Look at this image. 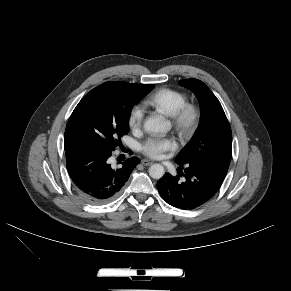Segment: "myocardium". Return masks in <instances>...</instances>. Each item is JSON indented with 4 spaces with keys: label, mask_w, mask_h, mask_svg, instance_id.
<instances>
[{
    "label": "myocardium",
    "mask_w": 291,
    "mask_h": 291,
    "mask_svg": "<svg viewBox=\"0 0 291 291\" xmlns=\"http://www.w3.org/2000/svg\"><path fill=\"white\" fill-rule=\"evenodd\" d=\"M200 109L194 103L186 102L179 107L171 118V123L177 133L184 139L190 138L200 122Z\"/></svg>",
    "instance_id": "f54148a6"
}]
</instances>
